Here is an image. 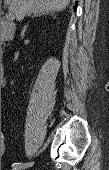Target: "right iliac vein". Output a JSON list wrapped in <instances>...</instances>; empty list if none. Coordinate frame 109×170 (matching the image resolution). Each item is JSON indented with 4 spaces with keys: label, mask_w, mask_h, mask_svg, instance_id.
Masks as SVG:
<instances>
[{
    "label": "right iliac vein",
    "mask_w": 109,
    "mask_h": 170,
    "mask_svg": "<svg viewBox=\"0 0 109 170\" xmlns=\"http://www.w3.org/2000/svg\"><path fill=\"white\" fill-rule=\"evenodd\" d=\"M22 169H24V168H18L17 170H22Z\"/></svg>",
    "instance_id": "right-iliac-vein-1"
}]
</instances>
